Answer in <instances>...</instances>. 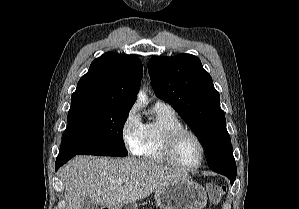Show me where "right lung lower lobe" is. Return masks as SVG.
<instances>
[{"label": "right lung lower lobe", "mask_w": 299, "mask_h": 209, "mask_svg": "<svg viewBox=\"0 0 299 209\" xmlns=\"http://www.w3.org/2000/svg\"><path fill=\"white\" fill-rule=\"evenodd\" d=\"M74 156L75 154H59L57 156L56 163H55V171H57L60 166L65 164L68 160H70Z\"/></svg>", "instance_id": "obj_1"}]
</instances>
